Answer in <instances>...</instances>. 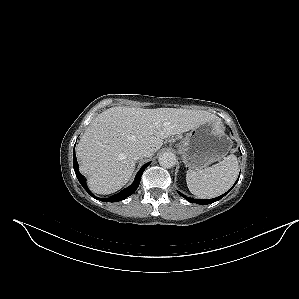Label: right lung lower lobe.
<instances>
[{"instance_id":"obj_1","label":"right lung lower lobe","mask_w":299,"mask_h":299,"mask_svg":"<svg viewBox=\"0 0 299 299\" xmlns=\"http://www.w3.org/2000/svg\"><path fill=\"white\" fill-rule=\"evenodd\" d=\"M149 164H150V162H148V163H146L145 165L142 166V168L138 171V173L136 175V178H135V180H134V182H133L132 185H130L129 187L123 189L119 193L112 195L111 197H109L107 199H102V198H98V197L94 196L89 191V189H88V187L86 185V179L84 178V176L78 170V163H77V159H76V155H75V149L73 151V167H74V171H75L76 177L78 178V181L83 186V188L86 189V191L88 192V194H90L91 196H93L97 200H100V201H103V202H117V201L124 200L128 196L132 195L136 191V189L138 188L139 183L141 181V176H142L145 168L148 167Z\"/></svg>"}]
</instances>
